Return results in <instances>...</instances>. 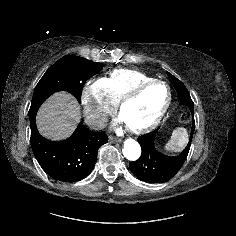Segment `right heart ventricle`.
I'll use <instances>...</instances> for the list:
<instances>
[{
	"label": "right heart ventricle",
	"instance_id": "right-heart-ventricle-1",
	"mask_svg": "<svg viewBox=\"0 0 236 236\" xmlns=\"http://www.w3.org/2000/svg\"><path fill=\"white\" fill-rule=\"evenodd\" d=\"M154 79L144 72L129 68H118L110 71L104 78L107 95L114 104L138 84Z\"/></svg>",
	"mask_w": 236,
	"mask_h": 236
}]
</instances>
